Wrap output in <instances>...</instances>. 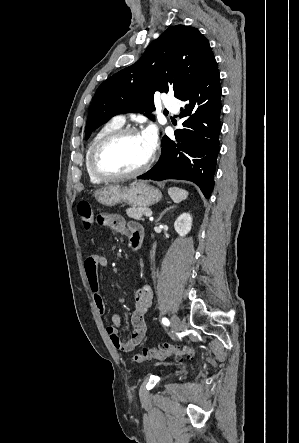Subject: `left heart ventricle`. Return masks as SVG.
Instances as JSON below:
<instances>
[{"mask_svg": "<svg viewBox=\"0 0 299 443\" xmlns=\"http://www.w3.org/2000/svg\"><path fill=\"white\" fill-rule=\"evenodd\" d=\"M149 156L142 134H129L107 145L99 154L100 167L109 173H124L141 166Z\"/></svg>", "mask_w": 299, "mask_h": 443, "instance_id": "1", "label": "left heart ventricle"}]
</instances>
